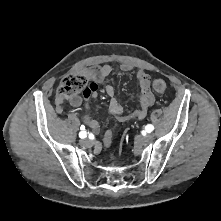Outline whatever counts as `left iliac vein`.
Here are the masks:
<instances>
[{
  "instance_id": "obj_1",
  "label": "left iliac vein",
  "mask_w": 221,
  "mask_h": 221,
  "mask_svg": "<svg viewBox=\"0 0 221 221\" xmlns=\"http://www.w3.org/2000/svg\"><path fill=\"white\" fill-rule=\"evenodd\" d=\"M153 141V136L148 134L146 136L137 137V142L141 145H147Z\"/></svg>"
}]
</instances>
